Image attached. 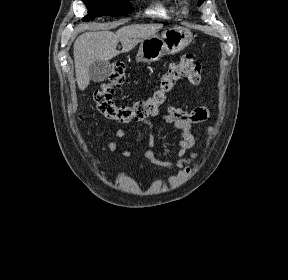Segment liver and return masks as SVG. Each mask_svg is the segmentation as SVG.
<instances>
[{
    "mask_svg": "<svg viewBox=\"0 0 288 280\" xmlns=\"http://www.w3.org/2000/svg\"><path fill=\"white\" fill-rule=\"evenodd\" d=\"M162 24H135L121 27L116 33L108 30L86 32L73 46L78 88L85 90L90 82L88 69L97 60L109 61L120 54L116 50L121 42L122 53L129 52L143 39L154 36Z\"/></svg>",
    "mask_w": 288,
    "mask_h": 280,
    "instance_id": "obj_1",
    "label": "liver"
}]
</instances>
